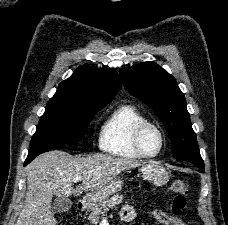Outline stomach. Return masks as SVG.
Masks as SVG:
<instances>
[{"label": "stomach", "mask_w": 228, "mask_h": 225, "mask_svg": "<svg viewBox=\"0 0 228 225\" xmlns=\"http://www.w3.org/2000/svg\"><path fill=\"white\" fill-rule=\"evenodd\" d=\"M140 175L147 179V181H151L153 185L156 187H161V185H166L169 181V173L165 171L163 167H159L156 163H149V165H144L139 169ZM124 183L120 177L118 179H113L111 183L102 187V189H98L95 193H88L86 197H84L85 205L87 209H92V207H99L103 201H108L111 195H117L119 191H121Z\"/></svg>", "instance_id": "obj_1"}]
</instances>
